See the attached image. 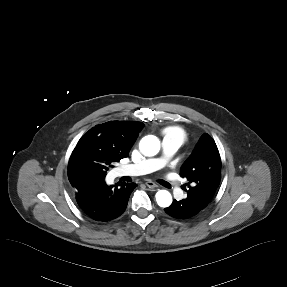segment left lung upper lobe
<instances>
[{
  "instance_id": "1",
  "label": "left lung upper lobe",
  "mask_w": 287,
  "mask_h": 287,
  "mask_svg": "<svg viewBox=\"0 0 287 287\" xmlns=\"http://www.w3.org/2000/svg\"><path fill=\"white\" fill-rule=\"evenodd\" d=\"M180 175L189 181L187 199L205 208L213 199L221 179V159L214 140L203 134ZM191 184V185H189Z\"/></svg>"
}]
</instances>
